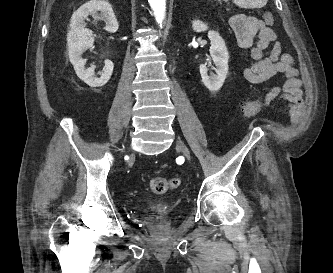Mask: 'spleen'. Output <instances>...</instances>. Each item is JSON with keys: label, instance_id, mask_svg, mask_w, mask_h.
Returning a JSON list of instances; mask_svg holds the SVG:
<instances>
[{"label": "spleen", "instance_id": "1", "mask_svg": "<svg viewBox=\"0 0 333 273\" xmlns=\"http://www.w3.org/2000/svg\"><path fill=\"white\" fill-rule=\"evenodd\" d=\"M268 0H233V3L241 8H261L266 5Z\"/></svg>", "mask_w": 333, "mask_h": 273}]
</instances>
